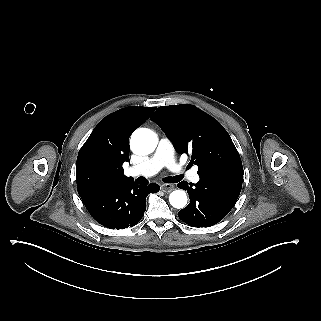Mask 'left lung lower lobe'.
<instances>
[{
	"label": "left lung lower lobe",
	"instance_id": "obj_1",
	"mask_svg": "<svg viewBox=\"0 0 321 321\" xmlns=\"http://www.w3.org/2000/svg\"><path fill=\"white\" fill-rule=\"evenodd\" d=\"M196 184L182 181L190 203L178 212L179 218L192 227H210L221 221L233 208L243 182V167L219 168L200 174Z\"/></svg>",
	"mask_w": 321,
	"mask_h": 321
}]
</instances>
